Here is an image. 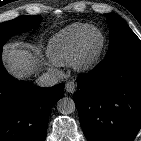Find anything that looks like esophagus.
Returning <instances> with one entry per match:
<instances>
[{"instance_id":"obj_1","label":"esophagus","mask_w":141,"mask_h":141,"mask_svg":"<svg viewBox=\"0 0 141 141\" xmlns=\"http://www.w3.org/2000/svg\"><path fill=\"white\" fill-rule=\"evenodd\" d=\"M66 92L72 94L76 91V84L74 81H68L65 85Z\"/></svg>"}]
</instances>
